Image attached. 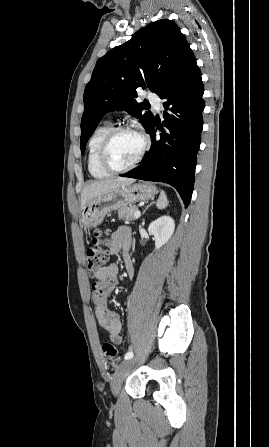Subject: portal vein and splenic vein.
Wrapping results in <instances>:
<instances>
[{"mask_svg": "<svg viewBox=\"0 0 269 447\" xmlns=\"http://www.w3.org/2000/svg\"><path fill=\"white\" fill-rule=\"evenodd\" d=\"M134 216H135L136 220H138V218H140V216H141L140 210H135Z\"/></svg>", "mask_w": 269, "mask_h": 447, "instance_id": "1", "label": "portal vein and splenic vein"}]
</instances>
